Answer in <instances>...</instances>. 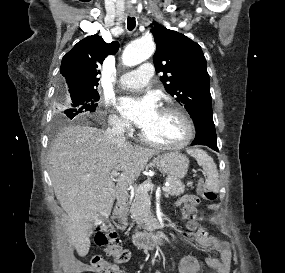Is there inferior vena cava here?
I'll return each instance as SVG.
<instances>
[{
    "mask_svg": "<svg viewBox=\"0 0 285 273\" xmlns=\"http://www.w3.org/2000/svg\"><path fill=\"white\" fill-rule=\"evenodd\" d=\"M125 122L121 120H116L112 123V127L106 130V135L116 142L125 141L124 133H125Z\"/></svg>",
    "mask_w": 285,
    "mask_h": 273,
    "instance_id": "inferior-vena-cava-1",
    "label": "inferior vena cava"
}]
</instances>
